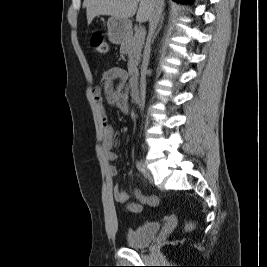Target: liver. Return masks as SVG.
<instances>
[{
	"label": "liver",
	"instance_id": "liver-1",
	"mask_svg": "<svg viewBox=\"0 0 267 267\" xmlns=\"http://www.w3.org/2000/svg\"><path fill=\"white\" fill-rule=\"evenodd\" d=\"M158 2L164 6V0H84L87 22L99 15L113 16L119 19H128L136 13L137 22L149 21Z\"/></svg>",
	"mask_w": 267,
	"mask_h": 267
}]
</instances>
